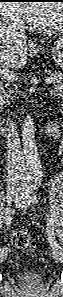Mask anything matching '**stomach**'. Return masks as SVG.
I'll list each match as a JSON object with an SVG mask.
<instances>
[{"label":"stomach","mask_w":63,"mask_h":297,"mask_svg":"<svg viewBox=\"0 0 63 297\" xmlns=\"http://www.w3.org/2000/svg\"><path fill=\"white\" fill-rule=\"evenodd\" d=\"M41 50L43 54L47 53L50 55L57 65L63 67V42L61 40L55 43L51 49H47L46 51L45 49Z\"/></svg>","instance_id":"stomach-1"}]
</instances>
